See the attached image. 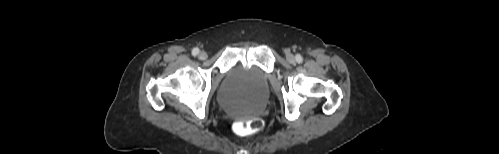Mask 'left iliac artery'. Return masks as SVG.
<instances>
[{
	"mask_svg": "<svg viewBox=\"0 0 499 154\" xmlns=\"http://www.w3.org/2000/svg\"><path fill=\"white\" fill-rule=\"evenodd\" d=\"M296 61H297L298 63H301V62L303 61L302 56H301V55H299V54H297V55H296Z\"/></svg>",
	"mask_w": 499,
	"mask_h": 154,
	"instance_id": "left-iliac-artery-1",
	"label": "left iliac artery"
}]
</instances>
